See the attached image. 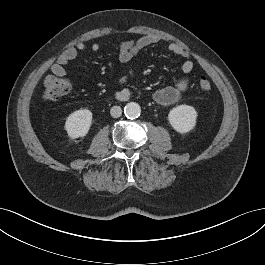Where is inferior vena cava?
Wrapping results in <instances>:
<instances>
[{
    "instance_id": "602c4592",
    "label": "inferior vena cava",
    "mask_w": 265,
    "mask_h": 265,
    "mask_svg": "<svg viewBox=\"0 0 265 265\" xmlns=\"http://www.w3.org/2000/svg\"><path fill=\"white\" fill-rule=\"evenodd\" d=\"M110 114L114 118H118L122 114V109L120 106H113L110 110Z\"/></svg>"
}]
</instances>
